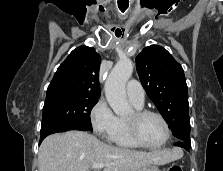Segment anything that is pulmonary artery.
<instances>
[{
	"label": "pulmonary artery",
	"mask_w": 223,
	"mask_h": 171,
	"mask_svg": "<svg viewBox=\"0 0 223 171\" xmlns=\"http://www.w3.org/2000/svg\"><path fill=\"white\" fill-rule=\"evenodd\" d=\"M127 96L130 101L137 105H143L145 100V91L137 80H130L126 86Z\"/></svg>",
	"instance_id": "1"
}]
</instances>
